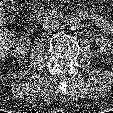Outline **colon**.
Listing matches in <instances>:
<instances>
[{
  "instance_id": "colon-1",
  "label": "colon",
  "mask_w": 113,
  "mask_h": 113,
  "mask_svg": "<svg viewBox=\"0 0 113 113\" xmlns=\"http://www.w3.org/2000/svg\"><path fill=\"white\" fill-rule=\"evenodd\" d=\"M10 0H0L1 8ZM14 40V32L10 27L0 26V57H3L11 48Z\"/></svg>"
}]
</instances>
